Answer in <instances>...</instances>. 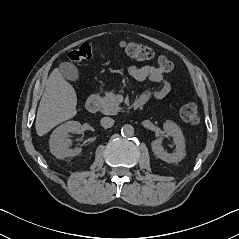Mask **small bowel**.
I'll use <instances>...</instances> for the list:
<instances>
[{
  "instance_id": "1",
  "label": "small bowel",
  "mask_w": 239,
  "mask_h": 239,
  "mask_svg": "<svg viewBox=\"0 0 239 239\" xmlns=\"http://www.w3.org/2000/svg\"><path fill=\"white\" fill-rule=\"evenodd\" d=\"M128 72L136 81L149 80L160 85L157 89H147L141 93L138 100L143 101L144 104L152 98L158 100L165 98L171 90L169 82L165 79V73L158 67L153 65H132L129 67Z\"/></svg>"
}]
</instances>
